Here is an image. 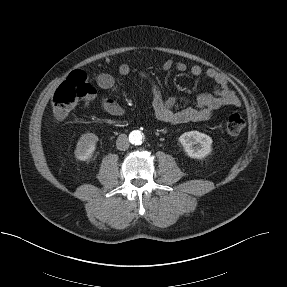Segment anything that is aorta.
Listing matches in <instances>:
<instances>
[{
    "label": "aorta",
    "instance_id": "aorta-1",
    "mask_svg": "<svg viewBox=\"0 0 287 287\" xmlns=\"http://www.w3.org/2000/svg\"><path fill=\"white\" fill-rule=\"evenodd\" d=\"M130 141L133 144H140L142 142L143 136L140 131H132L129 135Z\"/></svg>",
    "mask_w": 287,
    "mask_h": 287
}]
</instances>
